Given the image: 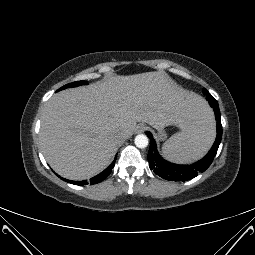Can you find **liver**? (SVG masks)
I'll list each match as a JSON object with an SVG mask.
<instances>
[{"instance_id": "1", "label": "liver", "mask_w": 255, "mask_h": 255, "mask_svg": "<svg viewBox=\"0 0 255 255\" xmlns=\"http://www.w3.org/2000/svg\"><path fill=\"white\" fill-rule=\"evenodd\" d=\"M206 106L198 95L178 87L163 72L112 76L89 86L61 91L45 104L40 144L59 175L83 180L99 173L117 145L129 138L137 122L159 129H184ZM120 132L124 138L117 140Z\"/></svg>"}]
</instances>
